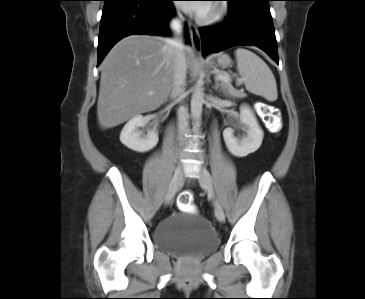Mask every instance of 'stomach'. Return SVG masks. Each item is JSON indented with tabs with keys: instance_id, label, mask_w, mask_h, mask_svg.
Returning <instances> with one entry per match:
<instances>
[{
	"instance_id": "stomach-1",
	"label": "stomach",
	"mask_w": 365,
	"mask_h": 299,
	"mask_svg": "<svg viewBox=\"0 0 365 299\" xmlns=\"http://www.w3.org/2000/svg\"><path fill=\"white\" fill-rule=\"evenodd\" d=\"M217 64L221 68H227V67L231 66L232 61H231V58L229 57V55H227L225 53H220L217 56Z\"/></svg>"
}]
</instances>
